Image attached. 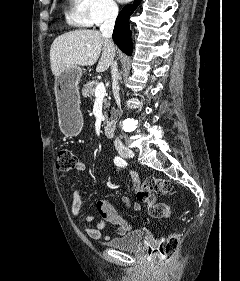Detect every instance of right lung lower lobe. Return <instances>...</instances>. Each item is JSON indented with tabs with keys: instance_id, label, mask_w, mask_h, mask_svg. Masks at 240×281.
I'll return each instance as SVG.
<instances>
[{
	"instance_id": "right-lung-lower-lobe-1",
	"label": "right lung lower lobe",
	"mask_w": 240,
	"mask_h": 281,
	"mask_svg": "<svg viewBox=\"0 0 240 281\" xmlns=\"http://www.w3.org/2000/svg\"><path fill=\"white\" fill-rule=\"evenodd\" d=\"M141 0H135L133 4L126 5L119 13L114 31L113 40L116 45L126 54L132 53L131 31L129 29V18L139 5Z\"/></svg>"
}]
</instances>
